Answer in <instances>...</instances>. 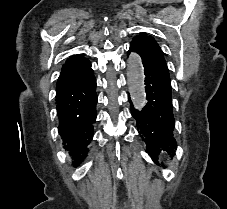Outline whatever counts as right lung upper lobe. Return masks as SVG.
Returning <instances> with one entry per match:
<instances>
[{"label":"right lung upper lobe","instance_id":"1","mask_svg":"<svg viewBox=\"0 0 227 209\" xmlns=\"http://www.w3.org/2000/svg\"><path fill=\"white\" fill-rule=\"evenodd\" d=\"M88 62H89V60H87L82 54H79V55L71 56L66 61V64H68L70 66H72V65H84ZM64 86H65V84H63V83L57 84L56 91L63 89Z\"/></svg>","mask_w":227,"mask_h":209}]
</instances>
